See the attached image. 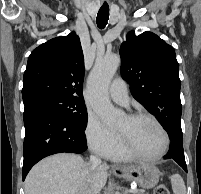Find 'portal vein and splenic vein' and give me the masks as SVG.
<instances>
[{"label": "portal vein and splenic vein", "mask_w": 201, "mask_h": 194, "mask_svg": "<svg viewBox=\"0 0 201 194\" xmlns=\"http://www.w3.org/2000/svg\"><path fill=\"white\" fill-rule=\"evenodd\" d=\"M129 191H130V192H133V191H135V190H133V189H130Z\"/></svg>", "instance_id": "portal-vein-and-splenic-vein-1"}]
</instances>
